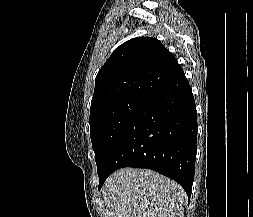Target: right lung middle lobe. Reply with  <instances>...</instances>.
I'll list each match as a JSON object with an SVG mask.
<instances>
[{"label": "right lung middle lobe", "instance_id": "right-lung-middle-lobe-1", "mask_svg": "<svg viewBox=\"0 0 253 217\" xmlns=\"http://www.w3.org/2000/svg\"><path fill=\"white\" fill-rule=\"evenodd\" d=\"M148 101L139 97L126 98L90 116V137L99 178L105 173L106 160L115 143Z\"/></svg>", "mask_w": 253, "mask_h": 217}]
</instances>
